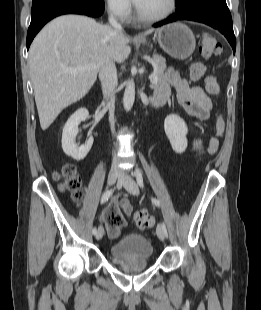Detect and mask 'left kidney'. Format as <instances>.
Instances as JSON below:
<instances>
[{"label":"left kidney","mask_w":261,"mask_h":310,"mask_svg":"<svg viewBox=\"0 0 261 310\" xmlns=\"http://www.w3.org/2000/svg\"><path fill=\"white\" fill-rule=\"evenodd\" d=\"M164 130L172 149L178 154L183 153L187 148L188 133L184 120L178 115L170 114L165 118Z\"/></svg>","instance_id":"left-kidney-1"}]
</instances>
